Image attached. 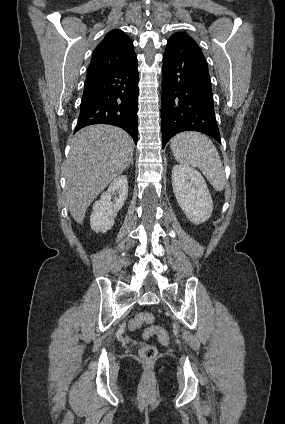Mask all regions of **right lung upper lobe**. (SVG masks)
Returning a JSON list of instances; mask_svg holds the SVG:
<instances>
[{
    "instance_id": "obj_1",
    "label": "right lung upper lobe",
    "mask_w": 285,
    "mask_h": 424,
    "mask_svg": "<svg viewBox=\"0 0 285 424\" xmlns=\"http://www.w3.org/2000/svg\"><path fill=\"white\" fill-rule=\"evenodd\" d=\"M136 59L133 42L128 35L119 29L112 30L95 48L86 77L109 72Z\"/></svg>"
}]
</instances>
